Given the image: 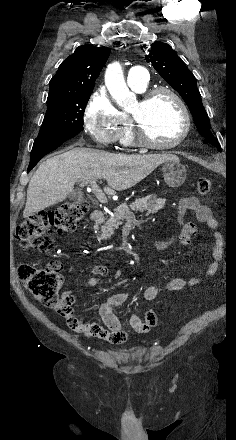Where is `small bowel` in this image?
<instances>
[{
  "label": "small bowel",
  "mask_w": 236,
  "mask_h": 440,
  "mask_svg": "<svg viewBox=\"0 0 236 440\" xmlns=\"http://www.w3.org/2000/svg\"><path fill=\"white\" fill-rule=\"evenodd\" d=\"M179 221L181 229L177 235L179 242L183 246H189L197 237V228L194 223L184 221V216L188 211H193L196 214V218L199 222L205 223L212 231H214L215 246L213 250V256L215 261L210 265L205 278L212 277L219 268V258L222 255V236L217 232L218 222L212 215L210 208L203 205L195 197H184L179 201ZM172 239L160 240L156 242L158 250L165 251L172 244ZM108 272V269L104 265H96L93 268L94 276L89 278L86 282L88 287H97L105 281L102 279ZM122 276V272L117 270L113 278L119 279ZM203 278L194 277L190 279L174 278L164 283L154 284L148 286L144 291V297L148 301L155 300L158 295L163 291H181L187 287H193L198 285ZM63 297L69 301V307L67 308L66 315L68 317L78 319L74 315L71 305L75 302V296L72 292L66 291L63 293ZM128 297L127 293H115L111 295L105 302L99 306V315L102 319L103 326L96 324L95 321H69L68 329L76 330L88 337H98L113 344H121L126 341L128 336L133 333L143 334L150 332V325L144 324L140 315L133 313L129 317V326L124 328L114 314L113 308L122 305Z\"/></svg>",
  "instance_id": "obj_1"
}]
</instances>
